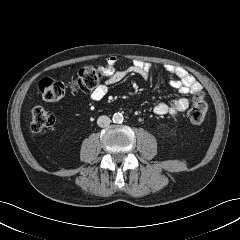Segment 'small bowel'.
I'll return each instance as SVG.
<instances>
[{
    "label": "small bowel",
    "instance_id": "1",
    "mask_svg": "<svg viewBox=\"0 0 240 240\" xmlns=\"http://www.w3.org/2000/svg\"><path fill=\"white\" fill-rule=\"evenodd\" d=\"M120 58L118 56H110L105 64L101 67V73L104 77L102 84L98 85L91 93L90 97L94 101H99L106 96L109 88L115 85L129 75H138L144 79H148L152 73L151 64L144 61H134L132 65L124 70H117L116 65ZM164 69L167 73L174 76L170 81V85L183 95L196 94L202 90L201 84L186 70L171 64H166ZM190 105L187 97H179L170 103L159 102L154 106V113L159 116L171 115L175 116L185 111Z\"/></svg>",
    "mask_w": 240,
    "mask_h": 240
}]
</instances>
